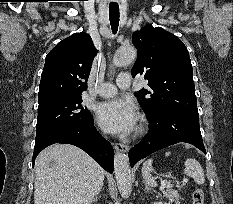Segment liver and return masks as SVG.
<instances>
[{
	"label": "liver",
	"instance_id": "obj_1",
	"mask_svg": "<svg viewBox=\"0 0 233 204\" xmlns=\"http://www.w3.org/2000/svg\"><path fill=\"white\" fill-rule=\"evenodd\" d=\"M35 172L34 204H91L104 180V170L70 144L45 148L36 159Z\"/></svg>",
	"mask_w": 233,
	"mask_h": 204
}]
</instances>
